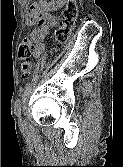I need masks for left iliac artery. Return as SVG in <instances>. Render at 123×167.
<instances>
[{
  "label": "left iliac artery",
  "mask_w": 123,
  "mask_h": 167,
  "mask_svg": "<svg viewBox=\"0 0 123 167\" xmlns=\"http://www.w3.org/2000/svg\"><path fill=\"white\" fill-rule=\"evenodd\" d=\"M14 114L17 117L21 116V100H20V98H17L15 103H14Z\"/></svg>",
  "instance_id": "1"
}]
</instances>
